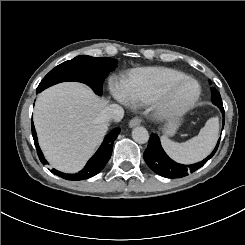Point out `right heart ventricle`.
<instances>
[{
	"label": "right heart ventricle",
	"instance_id": "right-heart-ventricle-1",
	"mask_svg": "<svg viewBox=\"0 0 245 245\" xmlns=\"http://www.w3.org/2000/svg\"><path fill=\"white\" fill-rule=\"evenodd\" d=\"M187 77L183 72L153 67L137 70L131 80L118 90L120 97L130 104H141L150 100L154 91L168 81Z\"/></svg>",
	"mask_w": 245,
	"mask_h": 245
}]
</instances>
